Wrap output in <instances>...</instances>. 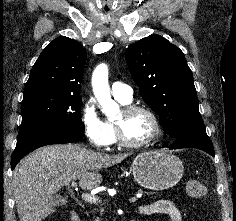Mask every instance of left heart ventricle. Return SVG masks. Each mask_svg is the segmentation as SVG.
<instances>
[{"label":"left heart ventricle","instance_id":"b2bd125f","mask_svg":"<svg viewBox=\"0 0 236 221\" xmlns=\"http://www.w3.org/2000/svg\"><path fill=\"white\" fill-rule=\"evenodd\" d=\"M117 119H122V114ZM123 130L129 141L142 142L153 134L154 124L149 115L144 112H136L123 118Z\"/></svg>","mask_w":236,"mask_h":221}]
</instances>
